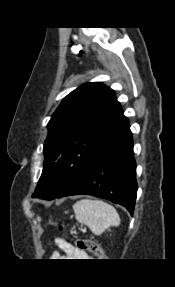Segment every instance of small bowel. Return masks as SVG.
Instances as JSON below:
<instances>
[{
    "mask_svg": "<svg viewBox=\"0 0 175 287\" xmlns=\"http://www.w3.org/2000/svg\"><path fill=\"white\" fill-rule=\"evenodd\" d=\"M55 245L57 248L63 250L68 256L73 257V256H84L86 255L84 252H79L77 251L72 245L67 243L64 239L62 238H56L55 239ZM55 255L58 256V253H55Z\"/></svg>",
    "mask_w": 175,
    "mask_h": 287,
    "instance_id": "small-bowel-1",
    "label": "small bowel"
}]
</instances>
